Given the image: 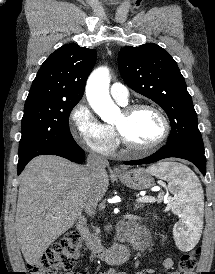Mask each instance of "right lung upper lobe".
<instances>
[{
    "instance_id": "cb5924a9",
    "label": "right lung upper lobe",
    "mask_w": 215,
    "mask_h": 274,
    "mask_svg": "<svg viewBox=\"0 0 215 274\" xmlns=\"http://www.w3.org/2000/svg\"><path fill=\"white\" fill-rule=\"evenodd\" d=\"M96 55L95 50L75 43L57 49L41 65L26 102L41 100L78 103Z\"/></svg>"
}]
</instances>
